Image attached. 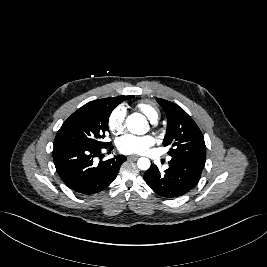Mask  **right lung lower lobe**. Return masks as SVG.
Listing matches in <instances>:
<instances>
[{
  "mask_svg": "<svg viewBox=\"0 0 267 267\" xmlns=\"http://www.w3.org/2000/svg\"><path fill=\"white\" fill-rule=\"evenodd\" d=\"M109 151L110 145L105 147ZM102 148L80 146H54L53 161L63 182L73 191L81 194H94L105 189L116 178L126 156H115L93 164V158L100 156Z\"/></svg>",
  "mask_w": 267,
  "mask_h": 267,
  "instance_id": "1",
  "label": "right lung lower lobe"
}]
</instances>
